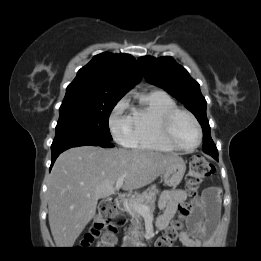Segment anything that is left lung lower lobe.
Returning <instances> with one entry per match:
<instances>
[{
    "mask_svg": "<svg viewBox=\"0 0 261 261\" xmlns=\"http://www.w3.org/2000/svg\"><path fill=\"white\" fill-rule=\"evenodd\" d=\"M205 152V151H204ZM206 153V152H205ZM207 154H209V153H207ZM209 155H211L215 160H217L218 161V155H214V154H209Z\"/></svg>",
    "mask_w": 261,
    "mask_h": 261,
    "instance_id": "left-lung-lower-lobe-1",
    "label": "left lung lower lobe"
}]
</instances>
